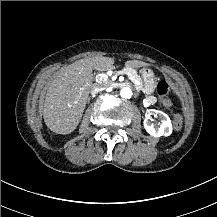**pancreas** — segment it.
<instances>
[{"instance_id": "obj_1", "label": "pancreas", "mask_w": 217, "mask_h": 217, "mask_svg": "<svg viewBox=\"0 0 217 217\" xmlns=\"http://www.w3.org/2000/svg\"><path fill=\"white\" fill-rule=\"evenodd\" d=\"M127 72V71H126ZM130 73V72H129ZM132 75V77L134 78V80H138L141 81L140 76H138L136 73H130ZM142 85H135L136 88H140Z\"/></svg>"}]
</instances>
